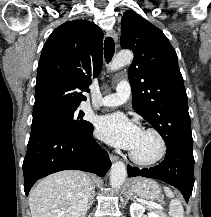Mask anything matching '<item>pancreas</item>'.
Here are the masks:
<instances>
[{
    "label": "pancreas",
    "mask_w": 211,
    "mask_h": 217,
    "mask_svg": "<svg viewBox=\"0 0 211 217\" xmlns=\"http://www.w3.org/2000/svg\"><path fill=\"white\" fill-rule=\"evenodd\" d=\"M149 210H151L150 207L146 206ZM154 213H156L159 217H167L166 214L162 210H153Z\"/></svg>",
    "instance_id": "obj_1"
}]
</instances>
